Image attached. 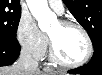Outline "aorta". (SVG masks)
<instances>
[{"instance_id":"1","label":"aorta","mask_w":102,"mask_h":75,"mask_svg":"<svg viewBox=\"0 0 102 75\" xmlns=\"http://www.w3.org/2000/svg\"><path fill=\"white\" fill-rule=\"evenodd\" d=\"M27 4L42 31L47 30L57 21L56 15L48 7L47 0H27Z\"/></svg>"}]
</instances>
